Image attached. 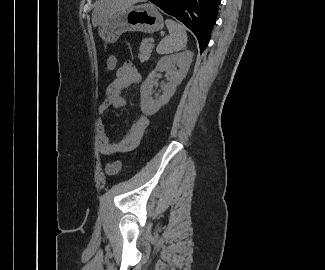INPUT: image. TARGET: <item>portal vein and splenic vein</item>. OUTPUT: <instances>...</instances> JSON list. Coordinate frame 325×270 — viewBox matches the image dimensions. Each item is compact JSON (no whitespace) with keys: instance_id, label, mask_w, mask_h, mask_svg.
Segmentation results:
<instances>
[{"instance_id":"18ae733b","label":"portal vein and splenic vein","mask_w":325,"mask_h":270,"mask_svg":"<svg viewBox=\"0 0 325 270\" xmlns=\"http://www.w3.org/2000/svg\"><path fill=\"white\" fill-rule=\"evenodd\" d=\"M154 40L153 39H150V42H153Z\"/></svg>"}]
</instances>
